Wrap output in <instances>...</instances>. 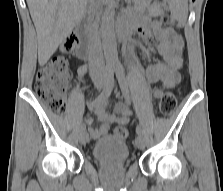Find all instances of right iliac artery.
<instances>
[{
	"label": "right iliac artery",
	"instance_id": "1",
	"mask_svg": "<svg viewBox=\"0 0 223 191\" xmlns=\"http://www.w3.org/2000/svg\"><path fill=\"white\" fill-rule=\"evenodd\" d=\"M107 83L102 92L95 98V100L91 103L90 108H93L97 103H99L101 100L108 99L110 96L113 87H114V74H113V68L108 67L107 68ZM85 126L81 125L80 131H84Z\"/></svg>",
	"mask_w": 223,
	"mask_h": 191
}]
</instances>
